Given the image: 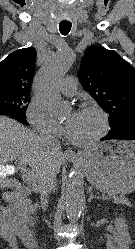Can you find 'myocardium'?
Returning a JSON list of instances; mask_svg holds the SVG:
<instances>
[{"instance_id": "obj_1", "label": "myocardium", "mask_w": 135, "mask_h": 249, "mask_svg": "<svg viewBox=\"0 0 135 249\" xmlns=\"http://www.w3.org/2000/svg\"><path fill=\"white\" fill-rule=\"evenodd\" d=\"M81 109H89L98 114L101 120V129L100 131L91 139L85 141H78L74 139L68 132L67 138L68 140L77 147H89L100 141L102 138L106 136L109 131V119L107 113L97 104L95 103H84L81 106Z\"/></svg>"}]
</instances>
